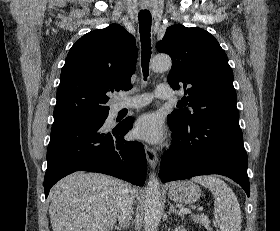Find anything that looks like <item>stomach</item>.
<instances>
[{
  "mask_svg": "<svg viewBox=\"0 0 280 231\" xmlns=\"http://www.w3.org/2000/svg\"><path fill=\"white\" fill-rule=\"evenodd\" d=\"M201 195V189L193 181H174L168 189V197L180 203H195Z\"/></svg>",
  "mask_w": 280,
  "mask_h": 231,
  "instance_id": "1",
  "label": "stomach"
}]
</instances>
